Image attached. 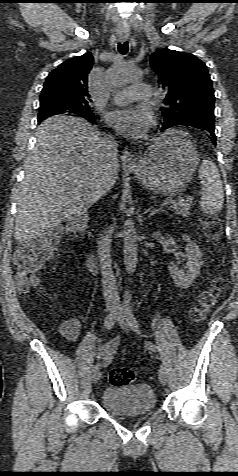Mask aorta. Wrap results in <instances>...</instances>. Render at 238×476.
Here are the masks:
<instances>
[{
	"label": "aorta",
	"instance_id": "1",
	"mask_svg": "<svg viewBox=\"0 0 238 476\" xmlns=\"http://www.w3.org/2000/svg\"><path fill=\"white\" fill-rule=\"evenodd\" d=\"M141 72L138 68L124 65L120 69H114L111 73L112 81L115 83H126L139 79ZM124 264L128 274L134 273L137 266V233L132 219L126 220L124 224ZM131 294L126 291L123 296V304L129 305Z\"/></svg>",
	"mask_w": 238,
	"mask_h": 476
}]
</instances>
